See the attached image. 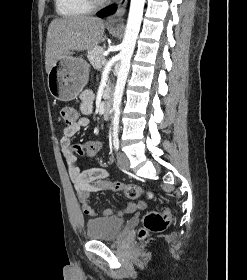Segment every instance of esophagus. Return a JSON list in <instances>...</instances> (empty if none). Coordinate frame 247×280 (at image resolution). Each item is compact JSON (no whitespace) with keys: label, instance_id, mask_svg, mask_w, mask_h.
I'll use <instances>...</instances> for the list:
<instances>
[{"label":"esophagus","instance_id":"34e87169","mask_svg":"<svg viewBox=\"0 0 247 280\" xmlns=\"http://www.w3.org/2000/svg\"><path fill=\"white\" fill-rule=\"evenodd\" d=\"M128 0H119L116 11L108 18V24H115L122 20Z\"/></svg>","mask_w":247,"mask_h":280}]
</instances>
